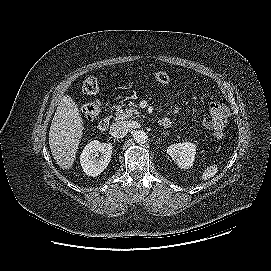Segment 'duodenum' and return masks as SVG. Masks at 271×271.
<instances>
[{
	"instance_id": "1",
	"label": "duodenum",
	"mask_w": 271,
	"mask_h": 271,
	"mask_svg": "<svg viewBox=\"0 0 271 271\" xmlns=\"http://www.w3.org/2000/svg\"><path fill=\"white\" fill-rule=\"evenodd\" d=\"M109 123H110V117L106 116L98 122L97 127L101 132H105L109 128ZM160 123L164 128H169L171 126V120L167 117L162 118Z\"/></svg>"
}]
</instances>
